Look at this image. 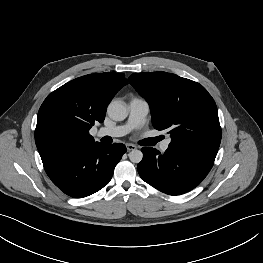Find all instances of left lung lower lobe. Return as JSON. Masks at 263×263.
<instances>
[{"mask_svg": "<svg viewBox=\"0 0 263 263\" xmlns=\"http://www.w3.org/2000/svg\"><path fill=\"white\" fill-rule=\"evenodd\" d=\"M142 152L143 159L137 166L140 177L161 192L181 195L206 177L218 150L169 144L163 154L150 147H143Z\"/></svg>", "mask_w": 263, "mask_h": 263, "instance_id": "0a47b994", "label": "left lung lower lobe"}]
</instances>
